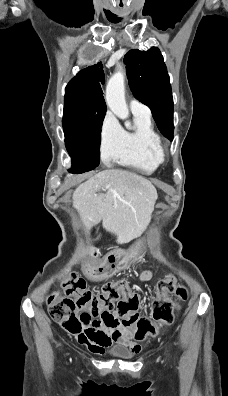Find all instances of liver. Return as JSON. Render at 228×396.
<instances>
[{"mask_svg":"<svg viewBox=\"0 0 228 396\" xmlns=\"http://www.w3.org/2000/svg\"><path fill=\"white\" fill-rule=\"evenodd\" d=\"M104 194H97L98 191ZM157 190L145 178L125 170H103L80 184L73 193V206L87 230L103 225L120 240L140 235L149 225Z\"/></svg>","mask_w":228,"mask_h":396,"instance_id":"1","label":"liver"}]
</instances>
